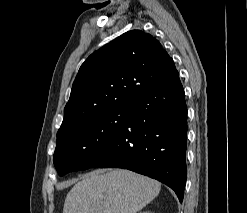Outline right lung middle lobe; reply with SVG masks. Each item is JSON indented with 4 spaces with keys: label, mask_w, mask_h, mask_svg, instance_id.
I'll list each match as a JSON object with an SVG mask.
<instances>
[{
    "label": "right lung middle lobe",
    "mask_w": 247,
    "mask_h": 213,
    "mask_svg": "<svg viewBox=\"0 0 247 213\" xmlns=\"http://www.w3.org/2000/svg\"><path fill=\"white\" fill-rule=\"evenodd\" d=\"M131 112L132 104L125 100L57 136L53 161L58 174L63 176L95 165Z\"/></svg>",
    "instance_id": "dd1d6c3e"
}]
</instances>
